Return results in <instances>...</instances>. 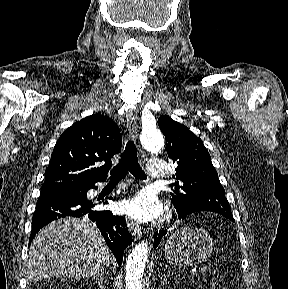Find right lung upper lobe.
Instances as JSON below:
<instances>
[{
    "label": "right lung upper lobe",
    "mask_w": 288,
    "mask_h": 289,
    "mask_svg": "<svg viewBox=\"0 0 288 289\" xmlns=\"http://www.w3.org/2000/svg\"><path fill=\"white\" fill-rule=\"evenodd\" d=\"M121 145L119 127L107 116L94 114L74 123L59 137L41 190L82 188L105 180ZM101 161L103 166L94 167Z\"/></svg>",
    "instance_id": "right-lung-upper-lobe-1"
}]
</instances>
